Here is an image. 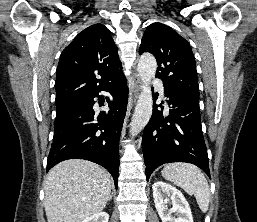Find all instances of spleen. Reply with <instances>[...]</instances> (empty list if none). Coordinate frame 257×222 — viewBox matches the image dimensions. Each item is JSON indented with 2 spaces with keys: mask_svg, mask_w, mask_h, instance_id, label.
I'll list each match as a JSON object with an SVG mask.
<instances>
[{
  "mask_svg": "<svg viewBox=\"0 0 257 222\" xmlns=\"http://www.w3.org/2000/svg\"><path fill=\"white\" fill-rule=\"evenodd\" d=\"M161 173L165 179L181 187L188 194L194 195L201 211L207 212L210 190L200 169L188 163H171L167 164Z\"/></svg>",
  "mask_w": 257,
  "mask_h": 222,
  "instance_id": "spleen-1",
  "label": "spleen"
}]
</instances>
